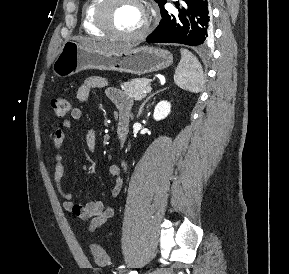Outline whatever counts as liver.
I'll list each match as a JSON object with an SVG mask.
<instances>
[{"label":"liver","mask_w":289,"mask_h":274,"mask_svg":"<svg viewBox=\"0 0 289 274\" xmlns=\"http://www.w3.org/2000/svg\"><path fill=\"white\" fill-rule=\"evenodd\" d=\"M81 44L94 50L111 53L123 52L131 48L129 46L117 45L108 42L89 41V40H82Z\"/></svg>","instance_id":"1"}]
</instances>
